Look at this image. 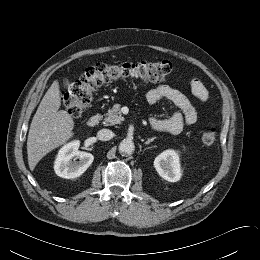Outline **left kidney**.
<instances>
[{
    "mask_svg": "<svg viewBox=\"0 0 260 260\" xmlns=\"http://www.w3.org/2000/svg\"><path fill=\"white\" fill-rule=\"evenodd\" d=\"M158 174L169 182H177L181 178L179 155L174 150H166L154 160Z\"/></svg>",
    "mask_w": 260,
    "mask_h": 260,
    "instance_id": "5707ae66",
    "label": "left kidney"
}]
</instances>
